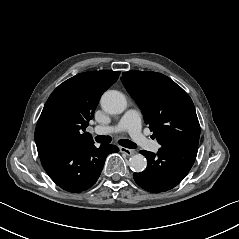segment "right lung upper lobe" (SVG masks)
Segmentation results:
<instances>
[{
  "mask_svg": "<svg viewBox=\"0 0 239 239\" xmlns=\"http://www.w3.org/2000/svg\"><path fill=\"white\" fill-rule=\"evenodd\" d=\"M120 72L102 70L80 73L60 84L48 98L35 130L37 149L50 144L93 142L85 132L103 92Z\"/></svg>",
  "mask_w": 239,
  "mask_h": 239,
  "instance_id": "right-lung-upper-lobe-1",
  "label": "right lung upper lobe"
}]
</instances>
